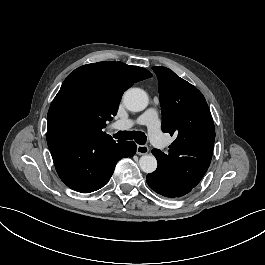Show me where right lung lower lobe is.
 <instances>
[{"label":"right lung lower lobe","instance_id":"1","mask_svg":"<svg viewBox=\"0 0 265 265\" xmlns=\"http://www.w3.org/2000/svg\"><path fill=\"white\" fill-rule=\"evenodd\" d=\"M47 143L61 180L81 193L102 188L117 161L136 153L133 141L116 143L109 135L51 130L47 132Z\"/></svg>","mask_w":265,"mask_h":265}]
</instances>
